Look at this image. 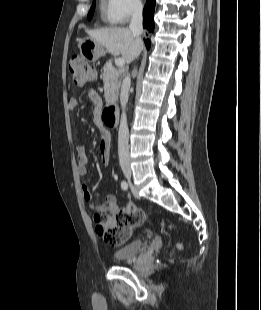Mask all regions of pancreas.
I'll use <instances>...</instances> for the list:
<instances>
[{"label":"pancreas","mask_w":261,"mask_h":310,"mask_svg":"<svg viewBox=\"0 0 261 310\" xmlns=\"http://www.w3.org/2000/svg\"><path fill=\"white\" fill-rule=\"evenodd\" d=\"M122 73L109 60L103 67L104 97L107 103L113 104L118 99Z\"/></svg>","instance_id":"obj_1"}]
</instances>
